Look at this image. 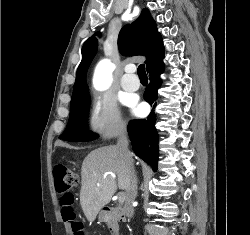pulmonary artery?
Returning <instances> with one entry per match:
<instances>
[{
  "label": "pulmonary artery",
  "mask_w": 250,
  "mask_h": 235,
  "mask_svg": "<svg viewBox=\"0 0 250 235\" xmlns=\"http://www.w3.org/2000/svg\"><path fill=\"white\" fill-rule=\"evenodd\" d=\"M121 86L128 92L136 91L140 86L139 79L133 74L132 67H127L121 81Z\"/></svg>",
  "instance_id": "e3ab8cb5"
}]
</instances>
